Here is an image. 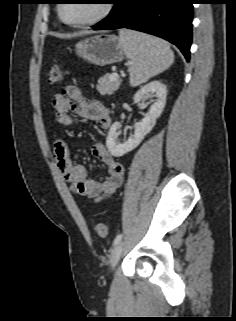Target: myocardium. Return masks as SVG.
Here are the masks:
<instances>
[{
  "instance_id": "myocardium-1",
  "label": "myocardium",
  "mask_w": 236,
  "mask_h": 321,
  "mask_svg": "<svg viewBox=\"0 0 236 321\" xmlns=\"http://www.w3.org/2000/svg\"><path fill=\"white\" fill-rule=\"evenodd\" d=\"M65 3H60L57 6V13H58V17L59 19L66 25L71 26V27H85V26H90V25H94L96 23H99L100 21L104 20L105 18H107L110 13L113 10V3L111 0H105L103 1V7L102 10L100 11V13L98 15H96L95 17H93L92 19H88V20H84V21H78V22H70L67 21L62 13V8L64 6Z\"/></svg>"
}]
</instances>
